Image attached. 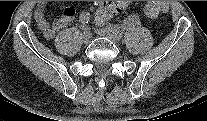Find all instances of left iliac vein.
I'll return each mask as SVG.
<instances>
[{
  "instance_id": "1",
  "label": "left iliac vein",
  "mask_w": 207,
  "mask_h": 121,
  "mask_svg": "<svg viewBox=\"0 0 207 121\" xmlns=\"http://www.w3.org/2000/svg\"><path fill=\"white\" fill-rule=\"evenodd\" d=\"M96 33L99 36L106 37V38L110 39L114 43H118L122 39V34L120 33V31L115 28H112V27L97 29Z\"/></svg>"
}]
</instances>
